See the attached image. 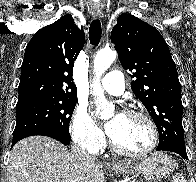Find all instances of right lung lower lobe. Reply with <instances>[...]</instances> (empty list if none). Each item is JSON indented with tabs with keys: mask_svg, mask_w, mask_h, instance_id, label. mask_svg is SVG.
Returning a JSON list of instances; mask_svg holds the SVG:
<instances>
[{
	"mask_svg": "<svg viewBox=\"0 0 196 182\" xmlns=\"http://www.w3.org/2000/svg\"><path fill=\"white\" fill-rule=\"evenodd\" d=\"M33 135H43V136H48L51 138H54L58 141H60L61 143H63L64 145H68L70 144L71 139H68L66 137H64L62 134L55 132V131H50V130H35V131H31L28 133H24L22 135H18L16 137L13 138L12 140V147L21 139L29 137V136H33Z\"/></svg>",
	"mask_w": 196,
	"mask_h": 182,
	"instance_id": "98d812e1",
	"label": "right lung lower lobe"
}]
</instances>
